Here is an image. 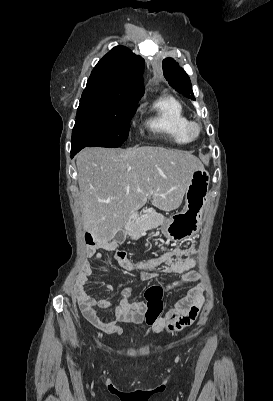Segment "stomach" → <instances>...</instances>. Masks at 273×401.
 I'll return each instance as SVG.
<instances>
[{
    "label": "stomach",
    "mask_w": 273,
    "mask_h": 401,
    "mask_svg": "<svg viewBox=\"0 0 273 401\" xmlns=\"http://www.w3.org/2000/svg\"><path fill=\"white\" fill-rule=\"evenodd\" d=\"M210 174L208 170L196 168L192 170L191 178L185 190V207L181 213L165 219L161 233L171 241H186L198 233L203 219V213L209 203Z\"/></svg>",
    "instance_id": "stomach-1"
}]
</instances>
